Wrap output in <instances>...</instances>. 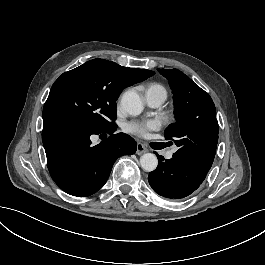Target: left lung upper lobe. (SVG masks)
I'll list each match as a JSON object with an SVG mask.
<instances>
[{"mask_svg": "<svg viewBox=\"0 0 265 265\" xmlns=\"http://www.w3.org/2000/svg\"><path fill=\"white\" fill-rule=\"evenodd\" d=\"M158 71L169 80L174 95L176 122L165 130L166 140H174L179 147L173 158L206 177L218 142L213 100L183 72L177 69Z\"/></svg>", "mask_w": 265, "mask_h": 265, "instance_id": "obj_1", "label": "left lung upper lobe"}]
</instances>
